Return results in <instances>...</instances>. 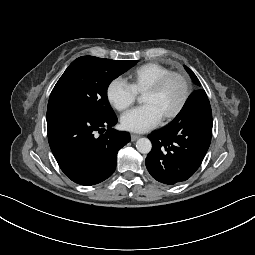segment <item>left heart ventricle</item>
Instances as JSON below:
<instances>
[{
    "label": "left heart ventricle",
    "instance_id": "left-heart-ventricle-1",
    "mask_svg": "<svg viewBox=\"0 0 255 255\" xmlns=\"http://www.w3.org/2000/svg\"><path fill=\"white\" fill-rule=\"evenodd\" d=\"M183 92L182 81L178 77H172L160 91L145 93L143 102L155 105L164 116L177 107L182 99Z\"/></svg>",
    "mask_w": 255,
    "mask_h": 255
}]
</instances>
